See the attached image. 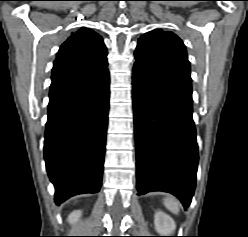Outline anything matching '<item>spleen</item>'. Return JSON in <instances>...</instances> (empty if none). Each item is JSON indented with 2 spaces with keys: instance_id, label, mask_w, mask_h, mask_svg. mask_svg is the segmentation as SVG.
Listing matches in <instances>:
<instances>
[{
  "instance_id": "1",
  "label": "spleen",
  "mask_w": 248,
  "mask_h": 237,
  "mask_svg": "<svg viewBox=\"0 0 248 237\" xmlns=\"http://www.w3.org/2000/svg\"><path fill=\"white\" fill-rule=\"evenodd\" d=\"M164 205L168 210L174 214L179 213V202L173 197H167L164 199Z\"/></svg>"
}]
</instances>
